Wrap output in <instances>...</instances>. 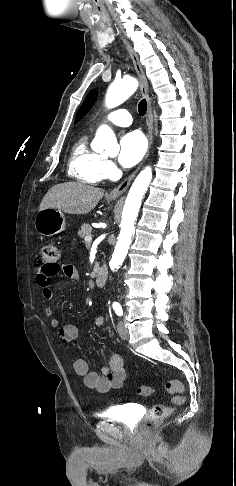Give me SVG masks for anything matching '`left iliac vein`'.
<instances>
[{
  "label": "left iliac vein",
  "instance_id": "1",
  "mask_svg": "<svg viewBox=\"0 0 236 486\" xmlns=\"http://www.w3.org/2000/svg\"><path fill=\"white\" fill-rule=\"evenodd\" d=\"M117 331H118V334L119 336L123 339V340H126L129 336V333H128V330L127 328L125 327L124 325V322L123 321H119L118 322V325H117Z\"/></svg>",
  "mask_w": 236,
  "mask_h": 486
}]
</instances>
